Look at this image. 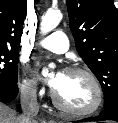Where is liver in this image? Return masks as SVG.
<instances>
[{"label":"liver","instance_id":"1","mask_svg":"<svg viewBox=\"0 0 118 123\" xmlns=\"http://www.w3.org/2000/svg\"><path fill=\"white\" fill-rule=\"evenodd\" d=\"M0 123H19L16 111L0 102ZM37 123V122H35Z\"/></svg>","mask_w":118,"mask_h":123}]
</instances>
